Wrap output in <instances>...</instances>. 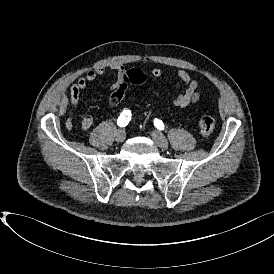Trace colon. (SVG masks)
Masks as SVG:
<instances>
[{"label":"colon","mask_w":274,"mask_h":274,"mask_svg":"<svg viewBox=\"0 0 274 274\" xmlns=\"http://www.w3.org/2000/svg\"><path fill=\"white\" fill-rule=\"evenodd\" d=\"M123 78L131 83L134 84H143L146 81V75L145 73L140 69H130L128 70L124 75ZM128 84L126 82H119L116 85V90L109 94L106 98V101L109 105L114 106L116 104H119L123 101L125 97V93L128 91ZM66 126L68 129H71L73 126V123L71 120H68L66 123ZM198 128L200 133L202 134H210L213 132L214 129V120L211 116L207 115V111L203 110L202 116L200 117L198 121Z\"/></svg>","instance_id":"5ec220e1"}]
</instances>
